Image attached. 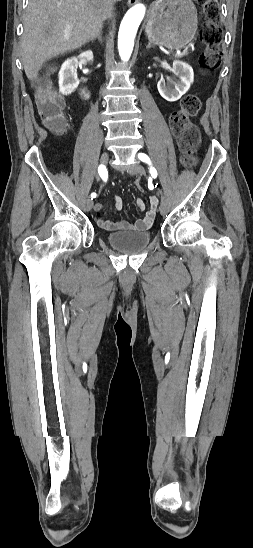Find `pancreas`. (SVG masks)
<instances>
[{
	"mask_svg": "<svg viewBox=\"0 0 253 548\" xmlns=\"http://www.w3.org/2000/svg\"><path fill=\"white\" fill-rule=\"evenodd\" d=\"M187 55V52H185L182 56Z\"/></svg>",
	"mask_w": 253,
	"mask_h": 548,
	"instance_id": "obj_1",
	"label": "pancreas"
}]
</instances>
